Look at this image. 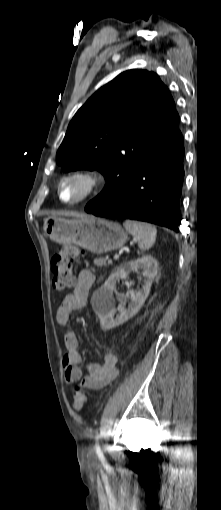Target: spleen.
Instances as JSON below:
<instances>
[{
	"instance_id": "3e777b00",
	"label": "spleen",
	"mask_w": 221,
	"mask_h": 510,
	"mask_svg": "<svg viewBox=\"0 0 221 510\" xmlns=\"http://www.w3.org/2000/svg\"><path fill=\"white\" fill-rule=\"evenodd\" d=\"M123 225L125 229L137 239L141 250H148L155 243L157 235V229L155 226L134 220H125Z\"/></svg>"
}]
</instances>
